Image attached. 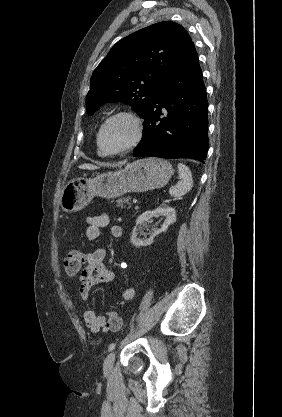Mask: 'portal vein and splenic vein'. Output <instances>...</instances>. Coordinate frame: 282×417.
<instances>
[{"label":"portal vein and splenic vein","instance_id":"portal-vein-and-splenic-vein-1","mask_svg":"<svg viewBox=\"0 0 282 417\" xmlns=\"http://www.w3.org/2000/svg\"><path fill=\"white\" fill-rule=\"evenodd\" d=\"M132 202H133V203H137V202H138V199H137V198H133V199H132Z\"/></svg>","mask_w":282,"mask_h":417}]
</instances>
